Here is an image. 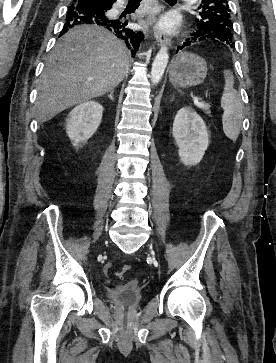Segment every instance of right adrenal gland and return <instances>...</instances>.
Instances as JSON below:
<instances>
[{
	"instance_id": "1",
	"label": "right adrenal gland",
	"mask_w": 276,
	"mask_h": 363,
	"mask_svg": "<svg viewBox=\"0 0 276 363\" xmlns=\"http://www.w3.org/2000/svg\"><path fill=\"white\" fill-rule=\"evenodd\" d=\"M113 93H114V91H111V92H110V94L108 95V97H109L112 101H114Z\"/></svg>"
}]
</instances>
